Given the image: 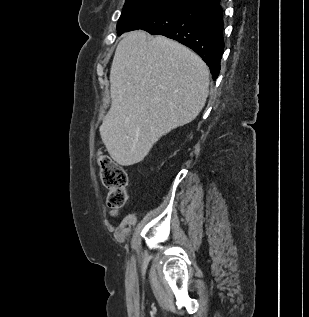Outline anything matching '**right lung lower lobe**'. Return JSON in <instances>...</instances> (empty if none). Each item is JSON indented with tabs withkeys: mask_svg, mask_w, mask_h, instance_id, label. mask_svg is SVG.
Wrapping results in <instances>:
<instances>
[{
	"mask_svg": "<svg viewBox=\"0 0 309 317\" xmlns=\"http://www.w3.org/2000/svg\"><path fill=\"white\" fill-rule=\"evenodd\" d=\"M223 28L220 0H180L143 15L118 35L143 29L177 40L207 63L216 80L224 51Z\"/></svg>",
	"mask_w": 309,
	"mask_h": 317,
	"instance_id": "1",
	"label": "right lung lower lobe"
}]
</instances>
